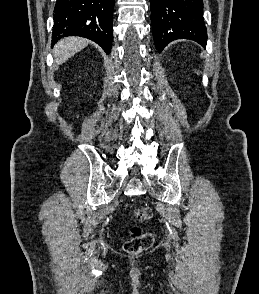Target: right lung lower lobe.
I'll return each instance as SVG.
<instances>
[{
	"label": "right lung lower lobe",
	"instance_id": "1",
	"mask_svg": "<svg viewBox=\"0 0 259 294\" xmlns=\"http://www.w3.org/2000/svg\"><path fill=\"white\" fill-rule=\"evenodd\" d=\"M113 8L114 0H57L52 43L65 36H80L96 42L110 53Z\"/></svg>",
	"mask_w": 259,
	"mask_h": 294
}]
</instances>
